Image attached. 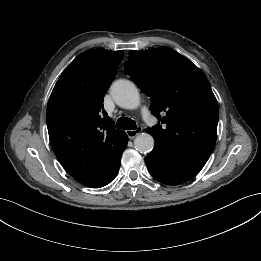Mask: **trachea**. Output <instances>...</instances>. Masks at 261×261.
<instances>
[{
	"label": "trachea",
	"mask_w": 261,
	"mask_h": 261,
	"mask_svg": "<svg viewBox=\"0 0 261 261\" xmlns=\"http://www.w3.org/2000/svg\"><path fill=\"white\" fill-rule=\"evenodd\" d=\"M116 128L134 130L137 128L136 122L131 118L121 117L117 120Z\"/></svg>",
	"instance_id": "trachea-1"
}]
</instances>
